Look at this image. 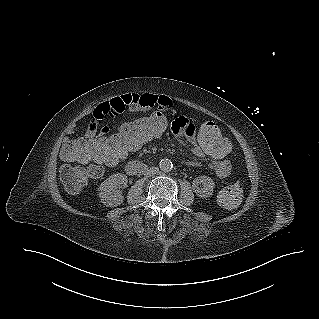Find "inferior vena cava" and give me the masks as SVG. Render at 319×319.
I'll list each match as a JSON object with an SVG mask.
<instances>
[{
    "mask_svg": "<svg viewBox=\"0 0 319 319\" xmlns=\"http://www.w3.org/2000/svg\"><path fill=\"white\" fill-rule=\"evenodd\" d=\"M158 168L157 167H150L146 170L145 175L146 176H152L158 173Z\"/></svg>",
    "mask_w": 319,
    "mask_h": 319,
    "instance_id": "602c4592",
    "label": "inferior vena cava"
}]
</instances>
